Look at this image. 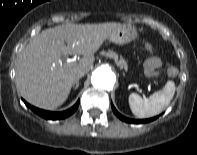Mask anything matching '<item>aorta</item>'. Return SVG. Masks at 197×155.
<instances>
[{"instance_id": "aorta-1", "label": "aorta", "mask_w": 197, "mask_h": 155, "mask_svg": "<svg viewBox=\"0 0 197 155\" xmlns=\"http://www.w3.org/2000/svg\"><path fill=\"white\" fill-rule=\"evenodd\" d=\"M92 84L105 90H111L115 84V75L109 67L101 66L93 72Z\"/></svg>"}]
</instances>
